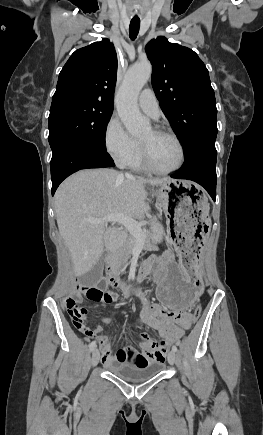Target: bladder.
I'll use <instances>...</instances> for the list:
<instances>
[{"label": "bladder", "mask_w": 263, "mask_h": 435, "mask_svg": "<svg viewBox=\"0 0 263 435\" xmlns=\"http://www.w3.org/2000/svg\"><path fill=\"white\" fill-rule=\"evenodd\" d=\"M163 366L164 364L161 361H152L140 366L113 365L109 370L121 379L140 382L157 376L161 372Z\"/></svg>", "instance_id": "obj_1"}]
</instances>
